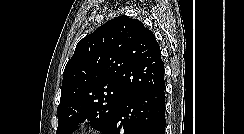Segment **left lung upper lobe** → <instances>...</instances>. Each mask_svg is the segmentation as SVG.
Segmentation results:
<instances>
[{"instance_id": "5c2ea615", "label": "left lung upper lobe", "mask_w": 244, "mask_h": 134, "mask_svg": "<svg viewBox=\"0 0 244 134\" xmlns=\"http://www.w3.org/2000/svg\"><path fill=\"white\" fill-rule=\"evenodd\" d=\"M164 83L154 34L137 19L116 17L80 40L68 61L56 134H71L86 121L106 133L126 98Z\"/></svg>"}]
</instances>
